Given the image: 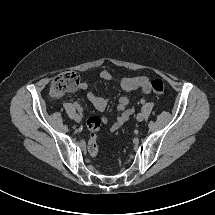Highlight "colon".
Masks as SVG:
<instances>
[{
	"instance_id": "1",
	"label": "colon",
	"mask_w": 215,
	"mask_h": 215,
	"mask_svg": "<svg viewBox=\"0 0 215 215\" xmlns=\"http://www.w3.org/2000/svg\"><path fill=\"white\" fill-rule=\"evenodd\" d=\"M80 77L74 71H65L59 73L52 81L50 88V95L54 99H58L67 93H72L80 88ZM153 94L160 97L164 93V83L157 79L150 84ZM87 129L91 136L88 142V153L91 157H95L98 153V143L96 132L101 126V119L99 117H90L86 122Z\"/></svg>"
}]
</instances>
